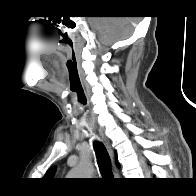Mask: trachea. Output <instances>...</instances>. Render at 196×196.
Returning <instances> with one entry per match:
<instances>
[{"instance_id": "obj_1", "label": "trachea", "mask_w": 196, "mask_h": 196, "mask_svg": "<svg viewBox=\"0 0 196 196\" xmlns=\"http://www.w3.org/2000/svg\"><path fill=\"white\" fill-rule=\"evenodd\" d=\"M93 147L96 153L100 173L105 179H113L111 161L105 146L102 142L95 141Z\"/></svg>"}]
</instances>
